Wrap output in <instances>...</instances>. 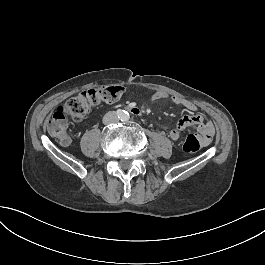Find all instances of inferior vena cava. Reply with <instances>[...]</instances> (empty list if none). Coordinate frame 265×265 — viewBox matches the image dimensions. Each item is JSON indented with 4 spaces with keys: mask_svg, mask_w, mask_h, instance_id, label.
I'll return each instance as SVG.
<instances>
[{
    "mask_svg": "<svg viewBox=\"0 0 265 265\" xmlns=\"http://www.w3.org/2000/svg\"><path fill=\"white\" fill-rule=\"evenodd\" d=\"M110 113H111L110 114V118H114L118 122L119 121V118H118L116 112H110Z\"/></svg>",
    "mask_w": 265,
    "mask_h": 265,
    "instance_id": "inferior-vena-cava-1",
    "label": "inferior vena cava"
}]
</instances>
